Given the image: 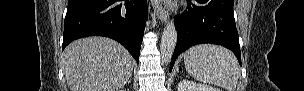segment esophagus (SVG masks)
Instances as JSON below:
<instances>
[{"label":"esophagus","mask_w":304,"mask_h":91,"mask_svg":"<svg viewBox=\"0 0 304 91\" xmlns=\"http://www.w3.org/2000/svg\"><path fill=\"white\" fill-rule=\"evenodd\" d=\"M152 7L155 11V14L157 16V18L161 21V22H166L167 18H168V13L165 10L164 7H162L157 1L152 2Z\"/></svg>","instance_id":"1"}]
</instances>
